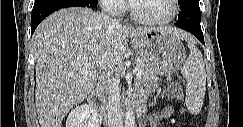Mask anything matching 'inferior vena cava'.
<instances>
[{
	"instance_id": "obj_1",
	"label": "inferior vena cava",
	"mask_w": 243,
	"mask_h": 127,
	"mask_svg": "<svg viewBox=\"0 0 243 127\" xmlns=\"http://www.w3.org/2000/svg\"><path fill=\"white\" fill-rule=\"evenodd\" d=\"M119 82L118 78H111L107 81V127H123Z\"/></svg>"
}]
</instances>
